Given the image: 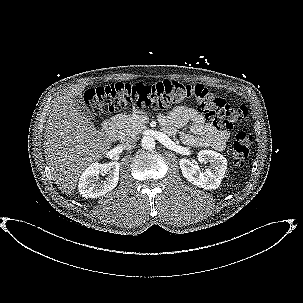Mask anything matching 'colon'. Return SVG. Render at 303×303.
I'll use <instances>...</instances> for the list:
<instances>
[{"instance_id":"obj_1","label":"colon","mask_w":303,"mask_h":303,"mask_svg":"<svg viewBox=\"0 0 303 303\" xmlns=\"http://www.w3.org/2000/svg\"><path fill=\"white\" fill-rule=\"evenodd\" d=\"M188 100L195 101L215 125L233 127L247 114L244 106L230 105L201 84L189 85L171 80L136 84L119 82L90 88L83 96L84 104L95 115L130 108L164 109ZM251 149V135L243 131L236 133L232 144V155L237 165H243L247 161Z\"/></svg>"}]
</instances>
